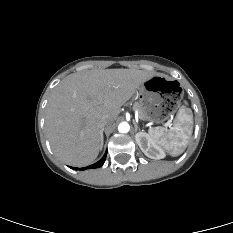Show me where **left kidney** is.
<instances>
[{"label":"left kidney","mask_w":233,"mask_h":233,"mask_svg":"<svg viewBox=\"0 0 233 233\" xmlns=\"http://www.w3.org/2000/svg\"><path fill=\"white\" fill-rule=\"evenodd\" d=\"M136 142L142 152L151 159H162L165 157L164 151L154 142V140L145 132H139L135 135Z\"/></svg>","instance_id":"5707ae66"}]
</instances>
